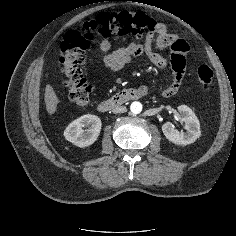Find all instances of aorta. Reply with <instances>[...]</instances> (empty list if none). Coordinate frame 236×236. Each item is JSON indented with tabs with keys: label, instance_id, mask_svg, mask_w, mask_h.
<instances>
[{
	"label": "aorta",
	"instance_id": "obj_1",
	"mask_svg": "<svg viewBox=\"0 0 236 236\" xmlns=\"http://www.w3.org/2000/svg\"><path fill=\"white\" fill-rule=\"evenodd\" d=\"M130 110L133 114H139L142 111V104L138 101H134L130 105Z\"/></svg>",
	"mask_w": 236,
	"mask_h": 236
}]
</instances>
